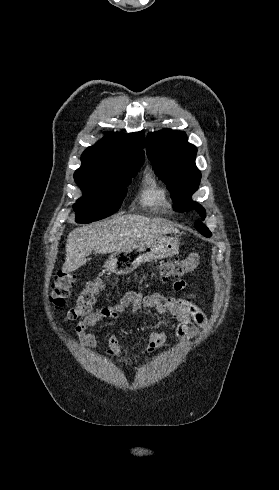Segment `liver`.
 Listing matches in <instances>:
<instances>
[{
    "label": "liver",
    "mask_w": 279,
    "mask_h": 490,
    "mask_svg": "<svg viewBox=\"0 0 279 490\" xmlns=\"http://www.w3.org/2000/svg\"><path fill=\"white\" fill-rule=\"evenodd\" d=\"M178 232L170 222L152 220L144 216H113L112 220H103L91 226L76 228L70 232L65 246L63 274L75 272L88 262L93 250L96 254H112L126 248H134L142 242L161 238L165 234Z\"/></svg>",
    "instance_id": "1"
}]
</instances>
